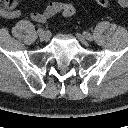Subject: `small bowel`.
<instances>
[{"label": "small bowel", "mask_w": 128, "mask_h": 128, "mask_svg": "<svg viewBox=\"0 0 128 128\" xmlns=\"http://www.w3.org/2000/svg\"><path fill=\"white\" fill-rule=\"evenodd\" d=\"M66 4L67 3L51 1L47 4L43 11L33 12L31 14V18L35 22L43 23L54 15H56L57 13L61 12ZM0 15L8 19H15L20 16V12L18 10H6L0 8Z\"/></svg>", "instance_id": "obj_1"}]
</instances>
